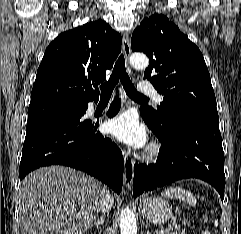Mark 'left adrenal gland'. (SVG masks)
Listing matches in <instances>:
<instances>
[{
  "instance_id": "1",
  "label": "left adrenal gland",
  "mask_w": 241,
  "mask_h": 234,
  "mask_svg": "<svg viewBox=\"0 0 241 234\" xmlns=\"http://www.w3.org/2000/svg\"><path fill=\"white\" fill-rule=\"evenodd\" d=\"M147 234H152L151 231H149V229L147 230Z\"/></svg>"
}]
</instances>
